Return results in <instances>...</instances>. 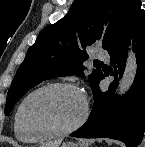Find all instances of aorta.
Instances as JSON below:
<instances>
[{
	"instance_id": "obj_1",
	"label": "aorta",
	"mask_w": 145,
	"mask_h": 147,
	"mask_svg": "<svg viewBox=\"0 0 145 147\" xmlns=\"http://www.w3.org/2000/svg\"><path fill=\"white\" fill-rule=\"evenodd\" d=\"M137 72V61L135 53L132 49L128 50L127 60L125 64L124 74L118 84L117 93L120 95L125 94L134 82Z\"/></svg>"
}]
</instances>
